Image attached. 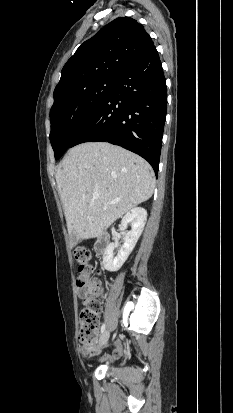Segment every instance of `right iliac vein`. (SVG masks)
Wrapping results in <instances>:
<instances>
[{
	"instance_id": "63e3f726",
	"label": "right iliac vein",
	"mask_w": 233,
	"mask_h": 413,
	"mask_svg": "<svg viewBox=\"0 0 233 413\" xmlns=\"http://www.w3.org/2000/svg\"><path fill=\"white\" fill-rule=\"evenodd\" d=\"M109 337H110L109 331H108V330H105V331L102 333L101 337H100L99 345H100L101 347L104 346V345L107 343V341L109 340Z\"/></svg>"
}]
</instances>
